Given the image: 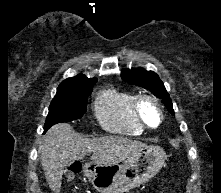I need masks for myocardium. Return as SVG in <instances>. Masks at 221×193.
I'll list each match as a JSON object with an SVG mask.
<instances>
[{"mask_svg":"<svg viewBox=\"0 0 221 193\" xmlns=\"http://www.w3.org/2000/svg\"><path fill=\"white\" fill-rule=\"evenodd\" d=\"M150 103L155 106L157 112H158V123L156 125L150 124L143 116L142 114V107L146 104ZM133 114L137 122L146 129H156L161 126L163 119H164V113L163 108L160 103V101L149 94H142L137 97H135L133 104H132Z\"/></svg>","mask_w":221,"mask_h":193,"instance_id":"myocardium-1","label":"myocardium"}]
</instances>
